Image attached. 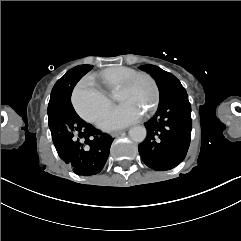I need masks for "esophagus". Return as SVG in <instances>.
<instances>
[{
	"label": "esophagus",
	"mask_w": 241,
	"mask_h": 241,
	"mask_svg": "<svg viewBox=\"0 0 241 241\" xmlns=\"http://www.w3.org/2000/svg\"><path fill=\"white\" fill-rule=\"evenodd\" d=\"M124 132V130H118V131H114V132H112L110 135L112 136V137H117V136H119L121 133H123Z\"/></svg>",
	"instance_id": "esophagus-1"
}]
</instances>
